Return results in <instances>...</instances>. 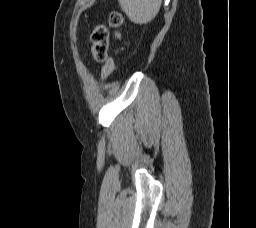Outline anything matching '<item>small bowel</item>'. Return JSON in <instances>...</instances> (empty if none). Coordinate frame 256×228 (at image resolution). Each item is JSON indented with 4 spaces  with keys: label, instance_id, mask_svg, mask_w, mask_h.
<instances>
[{
    "label": "small bowel",
    "instance_id": "c3829d8e",
    "mask_svg": "<svg viewBox=\"0 0 256 228\" xmlns=\"http://www.w3.org/2000/svg\"><path fill=\"white\" fill-rule=\"evenodd\" d=\"M115 36H116L117 39L121 40V34L120 33L116 32Z\"/></svg>",
    "mask_w": 256,
    "mask_h": 228
}]
</instances>
